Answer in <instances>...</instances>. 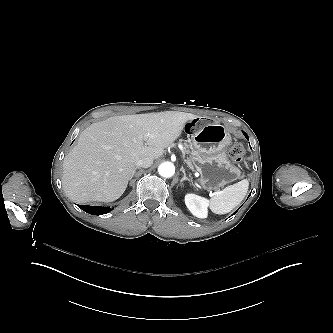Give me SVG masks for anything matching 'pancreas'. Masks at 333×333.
Returning <instances> with one entry per match:
<instances>
[{"label": "pancreas", "mask_w": 333, "mask_h": 333, "mask_svg": "<svg viewBox=\"0 0 333 333\" xmlns=\"http://www.w3.org/2000/svg\"><path fill=\"white\" fill-rule=\"evenodd\" d=\"M186 165L190 167V164L188 162L186 163Z\"/></svg>", "instance_id": "pancreas-1"}]
</instances>
